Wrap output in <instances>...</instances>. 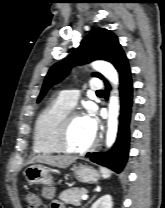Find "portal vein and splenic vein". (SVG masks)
Here are the masks:
<instances>
[{
  "label": "portal vein and splenic vein",
  "mask_w": 165,
  "mask_h": 208,
  "mask_svg": "<svg viewBox=\"0 0 165 208\" xmlns=\"http://www.w3.org/2000/svg\"><path fill=\"white\" fill-rule=\"evenodd\" d=\"M82 200H87L88 199V195L84 194L82 197H81Z\"/></svg>",
  "instance_id": "18ae733b"
}]
</instances>
